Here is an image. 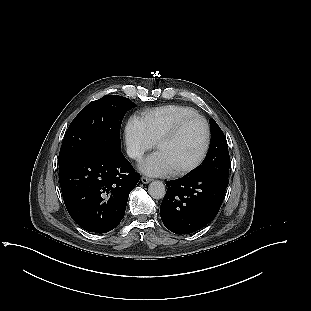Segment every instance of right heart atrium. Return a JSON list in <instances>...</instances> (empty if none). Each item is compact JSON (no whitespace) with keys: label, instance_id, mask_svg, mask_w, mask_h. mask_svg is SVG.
Listing matches in <instances>:
<instances>
[{"label":"right heart atrium","instance_id":"right-heart-atrium-1","mask_svg":"<svg viewBox=\"0 0 311 311\" xmlns=\"http://www.w3.org/2000/svg\"><path fill=\"white\" fill-rule=\"evenodd\" d=\"M124 137L127 153L135 161H140L145 153L154 146V142L149 137L143 122L135 116L127 120Z\"/></svg>","mask_w":311,"mask_h":311}]
</instances>
